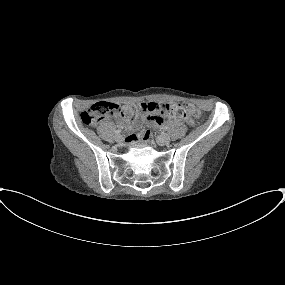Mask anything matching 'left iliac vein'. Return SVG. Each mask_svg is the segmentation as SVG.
<instances>
[{
	"mask_svg": "<svg viewBox=\"0 0 285 285\" xmlns=\"http://www.w3.org/2000/svg\"><path fill=\"white\" fill-rule=\"evenodd\" d=\"M170 141V137L168 134H163L157 138V142L160 145H167Z\"/></svg>",
	"mask_w": 285,
	"mask_h": 285,
	"instance_id": "left-iliac-vein-1",
	"label": "left iliac vein"
}]
</instances>
